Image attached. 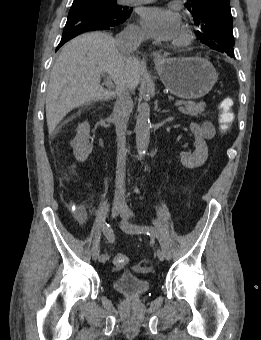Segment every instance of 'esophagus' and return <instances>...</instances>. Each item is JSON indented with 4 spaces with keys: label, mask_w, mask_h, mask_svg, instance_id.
Returning a JSON list of instances; mask_svg holds the SVG:
<instances>
[{
    "label": "esophagus",
    "mask_w": 261,
    "mask_h": 340,
    "mask_svg": "<svg viewBox=\"0 0 261 340\" xmlns=\"http://www.w3.org/2000/svg\"><path fill=\"white\" fill-rule=\"evenodd\" d=\"M153 57L156 62H162L164 60L163 56L159 52H153Z\"/></svg>",
    "instance_id": "1"
}]
</instances>
